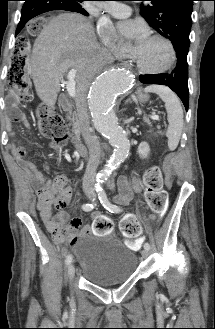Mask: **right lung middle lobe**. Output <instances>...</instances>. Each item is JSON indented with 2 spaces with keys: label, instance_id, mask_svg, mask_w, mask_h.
<instances>
[{
  "label": "right lung middle lobe",
  "instance_id": "1",
  "mask_svg": "<svg viewBox=\"0 0 215 329\" xmlns=\"http://www.w3.org/2000/svg\"><path fill=\"white\" fill-rule=\"evenodd\" d=\"M68 1L75 9L77 10L84 9L81 4L84 0H68Z\"/></svg>",
  "mask_w": 215,
  "mask_h": 329
}]
</instances>
